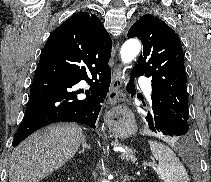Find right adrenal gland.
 Returning a JSON list of instances; mask_svg holds the SVG:
<instances>
[{
  "label": "right adrenal gland",
  "instance_id": "obj_1",
  "mask_svg": "<svg viewBox=\"0 0 211 182\" xmlns=\"http://www.w3.org/2000/svg\"><path fill=\"white\" fill-rule=\"evenodd\" d=\"M85 149H90V145L87 143L86 139L82 142V148L78 151V153L83 154Z\"/></svg>",
  "mask_w": 211,
  "mask_h": 182
}]
</instances>
